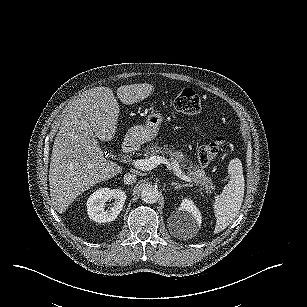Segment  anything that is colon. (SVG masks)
Here are the masks:
<instances>
[{
	"mask_svg": "<svg viewBox=\"0 0 307 307\" xmlns=\"http://www.w3.org/2000/svg\"><path fill=\"white\" fill-rule=\"evenodd\" d=\"M176 110L185 114H196L201 109V99L192 89H183L172 99ZM228 147V140L220 135L212 142L203 144L198 149V159L202 164H209Z\"/></svg>",
	"mask_w": 307,
	"mask_h": 307,
	"instance_id": "5ec220e1",
	"label": "colon"
}]
</instances>
